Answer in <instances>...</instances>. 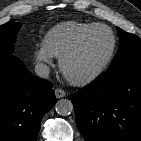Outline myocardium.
I'll use <instances>...</instances> for the list:
<instances>
[{
    "instance_id": "obj_1",
    "label": "myocardium",
    "mask_w": 141,
    "mask_h": 141,
    "mask_svg": "<svg viewBox=\"0 0 141 141\" xmlns=\"http://www.w3.org/2000/svg\"><path fill=\"white\" fill-rule=\"evenodd\" d=\"M100 28L106 29L110 33L111 38H112V45H111V48H110L108 55L106 56L104 61L96 69H94L90 73L83 75V76H79V77H75V76L70 75L67 71V64H68L69 60L74 55H76V53L80 50V48L83 45L86 38L93 31L100 29ZM116 48H117V38H116L114 31L109 26H107L105 24L97 23V24L91 26L90 28H88L85 32H83L80 35V37L74 42V44L60 57V60H59L60 70H61L62 74L65 76V78L71 84H73L75 86L88 85V84L92 83L93 81H95L96 79H98L106 71V69L110 65V63L115 55Z\"/></svg>"
}]
</instances>
